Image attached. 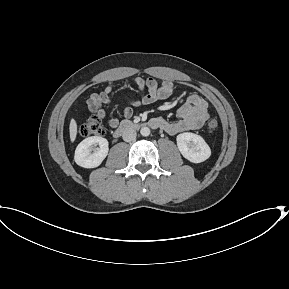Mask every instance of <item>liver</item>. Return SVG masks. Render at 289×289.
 I'll use <instances>...</instances> for the list:
<instances>
[{
    "instance_id": "obj_1",
    "label": "liver",
    "mask_w": 289,
    "mask_h": 289,
    "mask_svg": "<svg viewBox=\"0 0 289 289\" xmlns=\"http://www.w3.org/2000/svg\"><path fill=\"white\" fill-rule=\"evenodd\" d=\"M69 133H70L71 142H74L76 139V135H77V123L74 119H71L70 121Z\"/></svg>"
}]
</instances>
